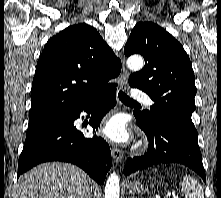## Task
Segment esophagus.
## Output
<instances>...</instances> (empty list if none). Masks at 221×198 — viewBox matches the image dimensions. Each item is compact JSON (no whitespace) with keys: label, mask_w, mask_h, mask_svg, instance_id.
<instances>
[{"label":"esophagus","mask_w":221,"mask_h":198,"mask_svg":"<svg viewBox=\"0 0 221 198\" xmlns=\"http://www.w3.org/2000/svg\"><path fill=\"white\" fill-rule=\"evenodd\" d=\"M123 64V73L121 75V79H120V87L122 90L126 89L127 86V82H128V77H129V72L126 70L125 66H124V61H122ZM111 153H112V157L114 159V161L118 164L122 161L123 159V153L121 151V149H119L117 146L113 145L112 149H111Z\"/></svg>","instance_id":"1"}]
</instances>
